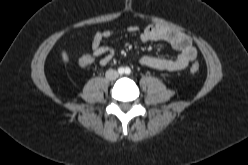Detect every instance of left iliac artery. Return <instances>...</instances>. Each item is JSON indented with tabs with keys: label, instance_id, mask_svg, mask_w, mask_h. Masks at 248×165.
Wrapping results in <instances>:
<instances>
[{
	"label": "left iliac artery",
	"instance_id": "44dca946",
	"mask_svg": "<svg viewBox=\"0 0 248 165\" xmlns=\"http://www.w3.org/2000/svg\"><path fill=\"white\" fill-rule=\"evenodd\" d=\"M127 74H129L130 73V69H126V71H125Z\"/></svg>",
	"mask_w": 248,
	"mask_h": 165
}]
</instances>
